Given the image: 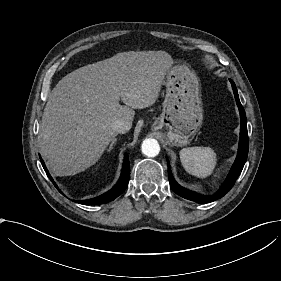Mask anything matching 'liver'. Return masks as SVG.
I'll return each instance as SVG.
<instances>
[{
	"label": "liver",
	"mask_w": 281,
	"mask_h": 281,
	"mask_svg": "<svg viewBox=\"0 0 281 281\" xmlns=\"http://www.w3.org/2000/svg\"><path fill=\"white\" fill-rule=\"evenodd\" d=\"M172 65L165 51H129L63 77L42 116L39 145L49 169L70 176L94 165L118 134L114 122L132 125L134 109L152 106Z\"/></svg>",
	"instance_id": "1"
}]
</instances>
